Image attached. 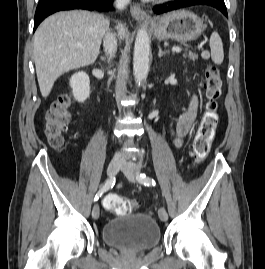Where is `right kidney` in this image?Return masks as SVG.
<instances>
[{
	"mask_svg": "<svg viewBox=\"0 0 265 269\" xmlns=\"http://www.w3.org/2000/svg\"><path fill=\"white\" fill-rule=\"evenodd\" d=\"M70 86L77 101L83 102L89 97L90 79L85 72L75 73L70 79Z\"/></svg>",
	"mask_w": 265,
	"mask_h": 269,
	"instance_id": "right-kidney-1",
	"label": "right kidney"
}]
</instances>
